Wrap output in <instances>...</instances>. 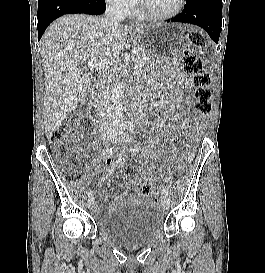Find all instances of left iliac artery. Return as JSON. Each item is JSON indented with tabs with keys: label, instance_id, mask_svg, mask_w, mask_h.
Segmentation results:
<instances>
[{
	"label": "left iliac artery",
	"instance_id": "obj_1",
	"mask_svg": "<svg viewBox=\"0 0 265 273\" xmlns=\"http://www.w3.org/2000/svg\"><path fill=\"white\" fill-rule=\"evenodd\" d=\"M123 125L131 132H136L137 131L136 126L132 122L124 121ZM162 194L164 196H168V190L164 186L162 187Z\"/></svg>",
	"mask_w": 265,
	"mask_h": 273
}]
</instances>
